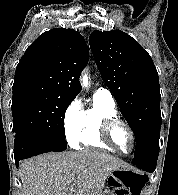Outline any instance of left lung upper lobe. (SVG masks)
Segmentation results:
<instances>
[{
    "mask_svg": "<svg viewBox=\"0 0 178 195\" xmlns=\"http://www.w3.org/2000/svg\"><path fill=\"white\" fill-rule=\"evenodd\" d=\"M89 44L103 81L135 135L134 156L158 150L161 95L150 55L120 30L94 31Z\"/></svg>",
    "mask_w": 178,
    "mask_h": 195,
    "instance_id": "5c2ea615",
    "label": "left lung upper lobe"
}]
</instances>
